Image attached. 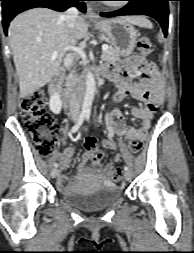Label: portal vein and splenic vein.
<instances>
[{
  "label": "portal vein and splenic vein",
  "instance_id": "1",
  "mask_svg": "<svg viewBox=\"0 0 194 253\" xmlns=\"http://www.w3.org/2000/svg\"><path fill=\"white\" fill-rule=\"evenodd\" d=\"M108 49V45L104 44L102 45V50L105 51ZM68 50H72V51H75L77 52L83 60L86 59V55L85 53L83 52V50L81 48H78V47H73V46H67L66 48H64V51H68ZM58 55V52L57 51H54L53 54H52V57L51 59L54 60Z\"/></svg>",
  "mask_w": 194,
  "mask_h": 253
}]
</instances>
